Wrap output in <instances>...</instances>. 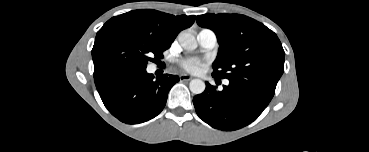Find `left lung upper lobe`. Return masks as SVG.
Segmentation results:
<instances>
[{"label":"left lung upper lobe","mask_w":369,"mask_h":152,"mask_svg":"<svg viewBox=\"0 0 369 152\" xmlns=\"http://www.w3.org/2000/svg\"><path fill=\"white\" fill-rule=\"evenodd\" d=\"M196 21L213 30L220 45L213 77L277 85L284 72L285 53L273 31L240 14L207 13Z\"/></svg>","instance_id":"left-lung-upper-lobe-1"}]
</instances>
